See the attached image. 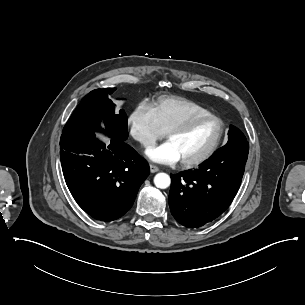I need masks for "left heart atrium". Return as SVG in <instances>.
Returning <instances> with one entry per match:
<instances>
[{
  "instance_id": "39dd6f15",
  "label": "left heart atrium",
  "mask_w": 305,
  "mask_h": 305,
  "mask_svg": "<svg viewBox=\"0 0 305 305\" xmlns=\"http://www.w3.org/2000/svg\"><path fill=\"white\" fill-rule=\"evenodd\" d=\"M146 156L157 163H176L181 160L179 151L170 141L150 148L146 151Z\"/></svg>"
}]
</instances>
